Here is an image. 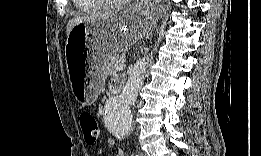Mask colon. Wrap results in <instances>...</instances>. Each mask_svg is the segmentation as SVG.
<instances>
[{
    "label": "colon",
    "mask_w": 261,
    "mask_h": 156,
    "mask_svg": "<svg viewBox=\"0 0 261 156\" xmlns=\"http://www.w3.org/2000/svg\"><path fill=\"white\" fill-rule=\"evenodd\" d=\"M79 124L83 133L84 140L87 144L92 145L98 137V124L94 115L88 111L79 114Z\"/></svg>",
    "instance_id": "1"
}]
</instances>
